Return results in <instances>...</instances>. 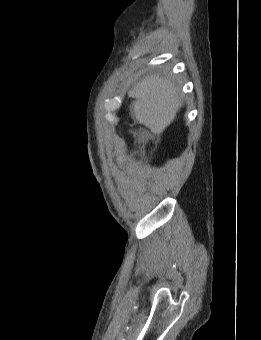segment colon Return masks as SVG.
<instances>
[{
    "label": "colon",
    "instance_id": "colon-1",
    "mask_svg": "<svg viewBox=\"0 0 261 340\" xmlns=\"http://www.w3.org/2000/svg\"><path fill=\"white\" fill-rule=\"evenodd\" d=\"M137 140H138L139 143H141L142 138L139 136V137L137 138Z\"/></svg>",
    "mask_w": 261,
    "mask_h": 340
}]
</instances>
